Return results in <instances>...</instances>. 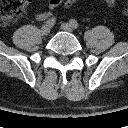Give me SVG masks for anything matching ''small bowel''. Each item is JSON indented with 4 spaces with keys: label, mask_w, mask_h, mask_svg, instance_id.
I'll return each instance as SVG.
<instances>
[{
    "label": "small bowel",
    "mask_w": 128,
    "mask_h": 128,
    "mask_svg": "<svg viewBox=\"0 0 128 128\" xmlns=\"http://www.w3.org/2000/svg\"><path fill=\"white\" fill-rule=\"evenodd\" d=\"M62 3V0H49L48 10L41 11L36 14V19L39 21L46 20L51 15V11L57 8Z\"/></svg>",
    "instance_id": "small-bowel-1"
}]
</instances>
